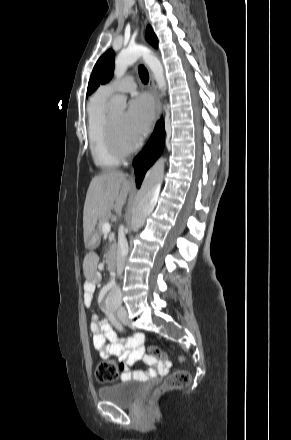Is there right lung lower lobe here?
<instances>
[{
  "mask_svg": "<svg viewBox=\"0 0 291 440\" xmlns=\"http://www.w3.org/2000/svg\"><path fill=\"white\" fill-rule=\"evenodd\" d=\"M165 128L163 119H161L155 128L151 138L145 148L135 159L134 168L137 176L136 184L139 188L146 171L154 164L157 158L162 154L164 148Z\"/></svg>",
  "mask_w": 291,
  "mask_h": 440,
  "instance_id": "98d812e1",
  "label": "right lung lower lobe"
}]
</instances>
